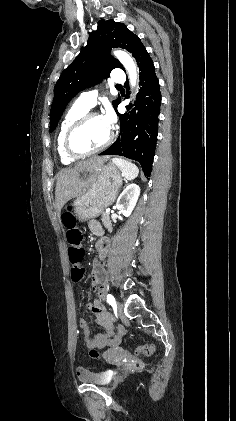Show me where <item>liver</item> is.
Here are the masks:
<instances>
[{
    "label": "liver",
    "mask_w": 236,
    "mask_h": 421,
    "mask_svg": "<svg viewBox=\"0 0 236 421\" xmlns=\"http://www.w3.org/2000/svg\"><path fill=\"white\" fill-rule=\"evenodd\" d=\"M109 154L107 156H93V158H88V160H82L78 162L74 168H65L62 172H59L56 180V206L58 213H61V208L64 204L73 198V196H79V192L83 190L84 182L80 176V170L83 168H95V166H101L106 160H108Z\"/></svg>",
    "instance_id": "liver-1"
}]
</instances>
